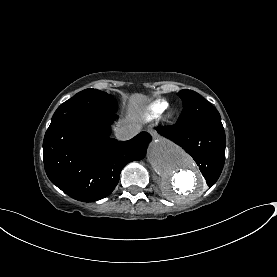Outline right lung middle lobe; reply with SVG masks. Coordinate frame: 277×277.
I'll return each mask as SVG.
<instances>
[{
    "mask_svg": "<svg viewBox=\"0 0 277 277\" xmlns=\"http://www.w3.org/2000/svg\"><path fill=\"white\" fill-rule=\"evenodd\" d=\"M117 110L116 100L97 89H85L61 104L55 111L49 127L78 116L112 114Z\"/></svg>",
    "mask_w": 277,
    "mask_h": 277,
    "instance_id": "right-lung-middle-lobe-1",
    "label": "right lung middle lobe"
}]
</instances>
